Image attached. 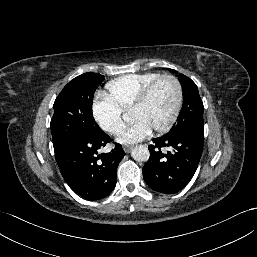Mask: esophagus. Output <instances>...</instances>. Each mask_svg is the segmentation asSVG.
<instances>
[{
	"label": "esophagus",
	"instance_id": "esophagus-1",
	"mask_svg": "<svg viewBox=\"0 0 257 257\" xmlns=\"http://www.w3.org/2000/svg\"><path fill=\"white\" fill-rule=\"evenodd\" d=\"M123 149H124V151H125L126 153H129L130 150H131V146H129V145H124V146H123Z\"/></svg>",
	"mask_w": 257,
	"mask_h": 257
}]
</instances>
